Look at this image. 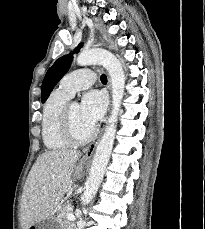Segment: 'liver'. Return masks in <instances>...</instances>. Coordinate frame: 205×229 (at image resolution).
<instances>
[{"instance_id":"obj_1","label":"liver","mask_w":205,"mask_h":229,"mask_svg":"<svg viewBox=\"0 0 205 229\" xmlns=\"http://www.w3.org/2000/svg\"><path fill=\"white\" fill-rule=\"evenodd\" d=\"M77 150H52L41 154L33 165L21 200L22 229L47 218L64 197L76 162Z\"/></svg>"}]
</instances>
